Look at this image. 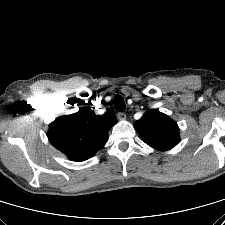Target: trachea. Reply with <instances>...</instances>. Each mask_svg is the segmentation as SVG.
Returning a JSON list of instances; mask_svg holds the SVG:
<instances>
[{"mask_svg":"<svg viewBox=\"0 0 225 225\" xmlns=\"http://www.w3.org/2000/svg\"><path fill=\"white\" fill-rule=\"evenodd\" d=\"M114 107L117 111H120V112H123L125 110V102L120 95L115 96Z\"/></svg>","mask_w":225,"mask_h":225,"instance_id":"obj_1","label":"trachea"}]
</instances>
